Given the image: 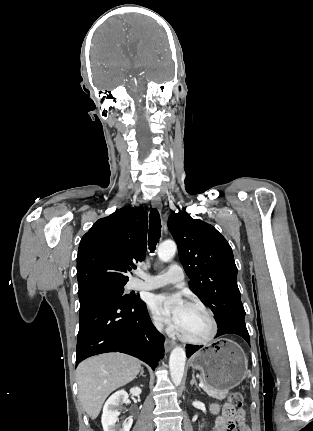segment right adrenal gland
Wrapping results in <instances>:
<instances>
[{
  "instance_id": "obj_1",
  "label": "right adrenal gland",
  "mask_w": 313,
  "mask_h": 431,
  "mask_svg": "<svg viewBox=\"0 0 313 431\" xmlns=\"http://www.w3.org/2000/svg\"><path fill=\"white\" fill-rule=\"evenodd\" d=\"M139 376L146 377V376L144 375V370H143V368L141 369V372H140Z\"/></svg>"
}]
</instances>
